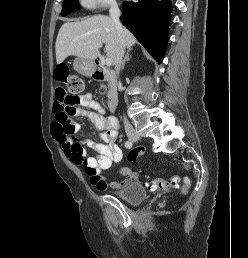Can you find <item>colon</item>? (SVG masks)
I'll return each instance as SVG.
<instances>
[{"mask_svg": "<svg viewBox=\"0 0 248 258\" xmlns=\"http://www.w3.org/2000/svg\"><path fill=\"white\" fill-rule=\"evenodd\" d=\"M67 69L62 68V73L59 74L58 79L60 82H66L67 93L63 96L57 98L55 104V112H56V123L58 124L61 133L66 135H71L74 132V128L72 125L71 115L73 113V105H75L78 101V98L81 94H83L85 90L84 81L75 75L67 76ZM144 144H135L131 146V152L128 156L129 160L134 161L137 157L144 155ZM86 173L89 176H96V172L94 169H85ZM178 184V177L171 176L168 178L165 177H157L154 179H150L147 182V185L152 190H168L170 188L176 187ZM190 185V181L185 179V185L183 190L186 191Z\"/></svg>", "mask_w": 248, "mask_h": 258, "instance_id": "5ec220e1", "label": "colon"}]
</instances>
